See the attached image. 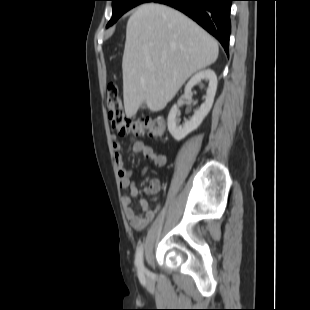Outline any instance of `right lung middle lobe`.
<instances>
[{
	"label": "right lung middle lobe",
	"instance_id": "obj_1",
	"mask_svg": "<svg viewBox=\"0 0 310 310\" xmlns=\"http://www.w3.org/2000/svg\"><path fill=\"white\" fill-rule=\"evenodd\" d=\"M112 1V18L106 27L113 25L125 12L131 8L148 2L149 0H111Z\"/></svg>",
	"mask_w": 310,
	"mask_h": 310
}]
</instances>
